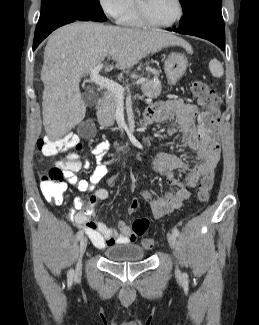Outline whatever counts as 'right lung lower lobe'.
Masks as SVG:
<instances>
[{
    "label": "right lung lower lobe",
    "mask_w": 259,
    "mask_h": 325,
    "mask_svg": "<svg viewBox=\"0 0 259 325\" xmlns=\"http://www.w3.org/2000/svg\"><path fill=\"white\" fill-rule=\"evenodd\" d=\"M81 20L74 16H60L51 21H49L45 26H43L38 31H35L33 50L55 29L65 24Z\"/></svg>",
    "instance_id": "98d812e1"
}]
</instances>
